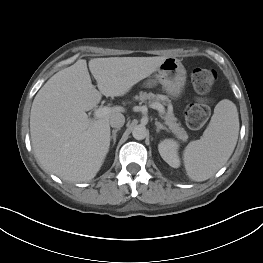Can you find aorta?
I'll return each instance as SVG.
<instances>
[{"label": "aorta", "instance_id": "obj_1", "mask_svg": "<svg viewBox=\"0 0 263 263\" xmlns=\"http://www.w3.org/2000/svg\"><path fill=\"white\" fill-rule=\"evenodd\" d=\"M132 135L136 140H143L147 136V129L145 126L138 125L134 127Z\"/></svg>", "mask_w": 263, "mask_h": 263}]
</instances>
